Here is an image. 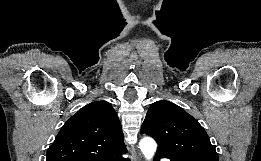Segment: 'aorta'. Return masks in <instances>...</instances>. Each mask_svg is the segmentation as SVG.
<instances>
[{
    "instance_id": "aorta-1",
    "label": "aorta",
    "mask_w": 261,
    "mask_h": 161,
    "mask_svg": "<svg viewBox=\"0 0 261 161\" xmlns=\"http://www.w3.org/2000/svg\"><path fill=\"white\" fill-rule=\"evenodd\" d=\"M139 146L145 158L151 160L157 149L156 142L151 137H144Z\"/></svg>"
}]
</instances>
